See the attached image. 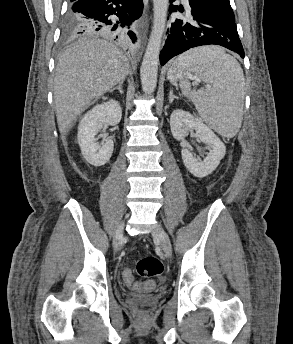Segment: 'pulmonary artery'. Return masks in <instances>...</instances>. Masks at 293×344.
<instances>
[{
	"mask_svg": "<svg viewBox=\"0 0 293 344\" xmlns=\"http://www.w3.org/2000/svg\"><path fill=\"white\" fill-rule=\"evenodd\" d=\"M182 2L186 5H188V0H182Z\"/></svg>",
	"mask_w": 293,
	"mask_h": 344,
	"instance_id": "obj_1",
	"label": "pulmonary artery"
}]
</instances>
